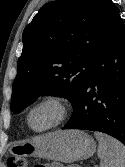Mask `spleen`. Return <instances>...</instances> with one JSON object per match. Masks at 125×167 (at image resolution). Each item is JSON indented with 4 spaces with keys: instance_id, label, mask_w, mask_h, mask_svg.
<instances>
[{
    "instance_id": "obj_1",
    "label": "spleen",
    "mask_w": 125,
    "mask_h": 167,
    "mask_svg": "<svg viewBox=\"0 0 125 167\" xmlns=\"http://www.w3.org/2000/svg\"><path fill=\"white\" fill-rule=\"evenodd\" d=\"M100 167H125V146L115 138L95 132Z\"/></svg>"
}]
</instances>
